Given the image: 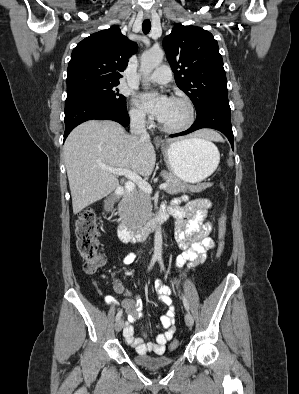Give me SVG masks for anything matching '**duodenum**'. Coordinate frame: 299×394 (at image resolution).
I'll return each instance as SVG.
<instances>
[{"mask_svg":"<svg viewBox=\"0 0 299 394\" xmlns=\"http://www.w3.org/2000/svg\"><path fill=\"white\" fill-rule=\"evenodd\" d=\"M135 189L133 183L129 182L126 184L125 194L122 196L117 205L116 212L119 217V226H118V236L123 242H132L143 240L146 238L148 234H150L154 229L167 220L169 217V213L167 209H161L153 218H151L145 225L140 227L131 226L128 218V214L126 211L125 198L126 195L132 193ZM113 202L108 201L106 203V209L110 210L112 208Z\"/></svg>","mask_w":299,"mask_h":394,"instance_id":"1","label":"duodenum"}]
</instances>
